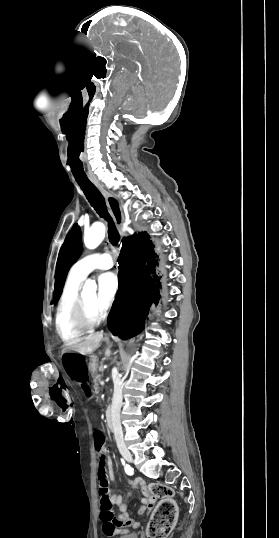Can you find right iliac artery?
<instances>
[{"label": "right iliac artery", "mask_w": 279, "mask_h": 538, "mask_svg": "<svg viewBox=\"0 0 279 538\" xmlns=\"http://www.w3.org/2000/svg\"><path fill=\"white\" fill-rule=\"evenodd\" d=\"M121 462H122V464L124 466L125 472L128 475H133V473H134L133 468L130 465L126 464L123 459H121Z\"/></svg>", "instance_id": "82829eb1"}]
</instances>
